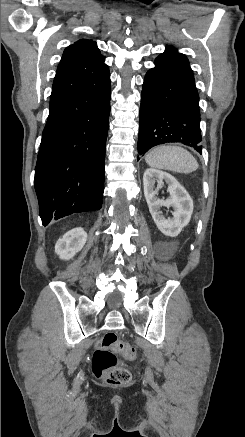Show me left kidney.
Instances as JSON below:
<instances>
[{"instance_id":"1","label":"left kidney","mask_w":245,"mask_h":437,"mask_svg":"<svg viewBox=\"0 0 245 437\" xmlns=\"http://www.w3.org/2000/svg\"><path fill=\"white\" fill-rule=\"evenodd\" d=\"M165 181L170 197L166 200L159 199L157 193ZM157 182V188L155 183ZM144 195L149 211L158 229L166 236L176 237L188 225L193 212V200L184 187L167 172L148 168L143 175ZM162 207H172V218L162 215Z\"/></svg>"}]
</instances>
